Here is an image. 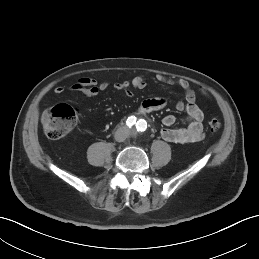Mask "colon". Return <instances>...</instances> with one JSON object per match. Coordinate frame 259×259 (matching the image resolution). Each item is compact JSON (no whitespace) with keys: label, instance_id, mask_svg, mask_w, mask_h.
I'll return each mask as SVG.
<instances>
[{"label":"colon","instance_id":"5ec220e1","mask_svg":"<svg viewBox=\"0 0 259 259\" xmlns=\"http://www.w3.org/2000/svg\"><path fill=\"white\" fill-rule=\"evenodd\" d=\"M77 122V111L70 105L58 104L44 112L41 125L45 135L51 139H60L71 131ZM221 123L217 119L208 121V130L217 132Z\"/></svg>","mask_w":259,"mask_h":259}]
</instances>
